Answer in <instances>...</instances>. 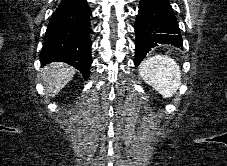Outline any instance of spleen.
<instances>
[{
    "label": "spleen",
    "instance_id": "spleen-1",
    "mask_svg": "<svg viewBox=\"0 0 227 166\" xmlns=\"http://www.w3.org/2000/svg\"><path fill=\"white\" fill-rule=\"evenodd\" d=\"M142 79L164 98H170L181 85V71L177 63L167 55L146 58L139 67Z\"/></svg>",
    "mask_w": 227,
    "mask_h": 166
}]
</instances>
